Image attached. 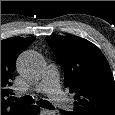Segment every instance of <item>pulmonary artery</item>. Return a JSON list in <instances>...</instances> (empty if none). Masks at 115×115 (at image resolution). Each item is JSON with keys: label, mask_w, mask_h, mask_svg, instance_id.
Wrapping results in <instances>:
<instances>
[{"label": "pulmonary artery", "mask_w": 115, "mask_h": 115, "mask_svg": "<svg viewBox=\"0 0 115 115\" xmlns=\"http://www.w3.org/2000/svg\"><path fill=\"white\" fill-rule=\"evenodd\" d=\"M34 90L46 93L53 101L63 108L69 107L68 99L59 86L57 69L52 65H49L43 71L41 81L36 85Z\"/></svg>", "instance_id": "pulmonary-artery-1"}]
</instances>
